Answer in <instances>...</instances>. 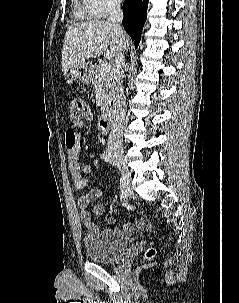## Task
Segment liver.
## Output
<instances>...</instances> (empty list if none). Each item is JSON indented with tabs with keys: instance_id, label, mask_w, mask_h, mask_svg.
Instances as JSON below:
<instances>
[{
	"instance_id": "liver-1",
	"label": "liver",
	"mask_w": 239,
	"mask_h": 303,
	"mask_svg": "<svg viewBox=\"0 0 239 303\" xmlns=\"http://www.w3.org/2000/svg\"><path fill=\"white\" fill-rule=\"evenodd\" d=\"M130 39L125 33L119 37L114 26L108 21L90 20L68 27L62 47V72L66 76L71 66L105 54L115 57L117 51H125ZM109 47V48H108Z\"/></svg>"
}]
</instances>
